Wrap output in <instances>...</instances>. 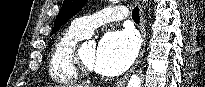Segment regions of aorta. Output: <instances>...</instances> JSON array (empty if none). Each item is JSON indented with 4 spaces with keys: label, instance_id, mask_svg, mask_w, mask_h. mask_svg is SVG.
<instances>
[{
    "label": "aorta",
    "instance_id": "762f6f07",
    "mask_svg": "<svg viewBox=\"0 0 205 87\" xmlns=\"http://www.w3.org/2000/svg\"><path fill=\"white\" fill-rule=\"evenodd\" d=\"M142 78L137 74H133L128 81L127 87H141Z\"/></svg>",
    "mask_w": 205,
    "mask_h": 87
}]
</instances>
